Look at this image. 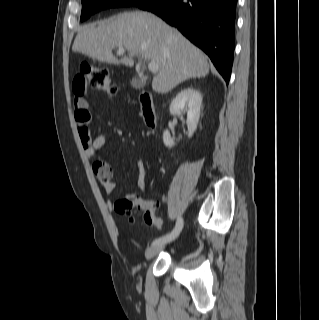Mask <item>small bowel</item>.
<instances>
[{
  "instance_id": "1",
  "label": "small bowel",
  "mask_w": 319,
  "mask_h": 320,
  "mask_svg": "<svg viewBox=\"0 0 319 320\" xmlns=\"http://www.w3.org/2000/svg\"><path fill=\"white\" fill-rule=\"evenodd\" d=\"M75 91V100H74V108H75V122L78 126L79 135L81 139V143L87 158L92 159L95 157L97 152L106 144L108 137L106 135H98L95 138H92L89 132L84 130V124L89 123L91 113L89 110V102L85 98V87L76 88ZM104 164L105 161L97 160L94 162ZM137 184L138 187L142 191H146L148 189V184L146 180L145 167L142 161L137 162ZM94 172L98 179L100 180L104 191L107 194L112 193L116 188V182L112 177V172L105 170L103 167L95 170ZM130 199L139 201V209H142L144 212L150 211L155 214L156 211V203L150 199L136 197L134 195H129Z\"/></svg>"
}]
</instances>
